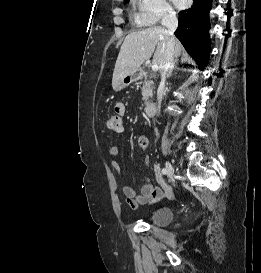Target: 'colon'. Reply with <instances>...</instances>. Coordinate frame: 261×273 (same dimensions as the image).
Masks as SVG:
<instances>
[{
	"instance_id": "obj_1",
	"label": "colon",
	"mask_w": 261,
	"mask_h": 273,
	"mask_svg": "<svg viewBox=\"0 0 261 273\" xmlns=\"http://www.w3.org/2000/svg\"><path fill=\"white\" fill-rule=\"evenodd\" d=\"M107 125L109 129L118 131L122 128V118L119 115H111L108 118Z\"/></svg>"
}]
</instances>
